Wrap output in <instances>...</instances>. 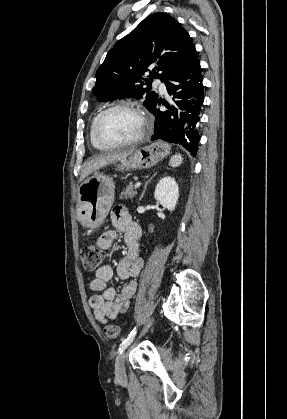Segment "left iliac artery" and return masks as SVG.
Returning a JSON list of instances; mask_svg holds the SVG:
<instances>
[{"label": "left iliac artery", "instance_id": "obj_1", "mask_svg": "<svg viewBox=\"0 0 287 419\" xmlns=\"http://www.w3.org/2000/svg\"><path fill=\"white\" fill-rule=\"evenodd\" d=\"M136 335V330L134 329L129 336L122 342L119 348V353H122L124 349L127 348V346L133 341L134 337Z\"/></svg>", "mask_w": 287, "mask_h": 419}]
</instances>
